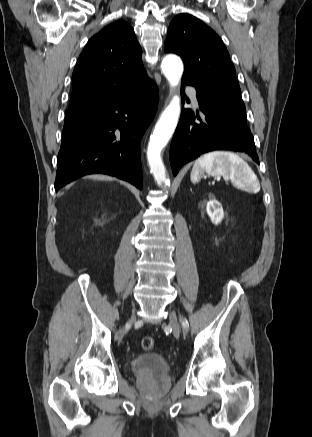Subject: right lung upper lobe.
I'll return each mask as SVG.
<instances>
[{
  "label": "right lung upper lobe",
  "mask_w": 312,
  "mask_h": 437,
  "mask_svg": "<svg viewBox=\"0 0 312 437\" xmlns=\"http://www.w3.org/2000/svg\"><path fill=\"white\" fill-rule=\"evenodd\" d=\"M142 50L129 24L118 20L94 35L72 74L70 112H87L121 95L146 74Z\"/></svg>",
  "instance_id": "obj_1"
}]
</instances>
